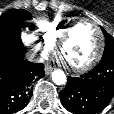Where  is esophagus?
<instances>
[{
    "mask_svg": "<svg viewBox=\"0 0 114 114\" xmlns=\"http://www.w3.org/2000/svg\"><path fill=\"white\" fill-rule=\"evenodd\" d=\"M44 71H45V74L48 75V74H50L53 71V67L48 65V64H46L45 68H44Z\"/></svg>",
    "mask_w": 114,
    "mask_h": 114,
    "instance_id": "34e87169",
    "label": "esophagus"
}]
</instances>
